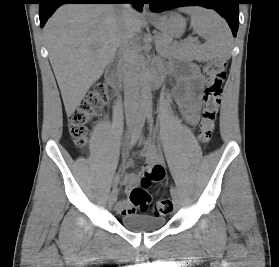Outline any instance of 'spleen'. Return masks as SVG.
<instances>
[{
  "label": "spleen",
  "mask_w": 279,
  "mask_h": 267,
  "mask_svg": "<svg viewBox=\"0 0 279 267\" xmlns=\"http://www.w3.org/2000/svg\"><path fill=\"white\" fill-rule=\"evenodd\" d=\"M191 17V25L206 42L193 52L199 62H207L213 57L230 58L232 36L225 20L215 11L203 7L180 9Z\"/></svg>",
  "instance_id": "spleen-1"
}]
</instances>
